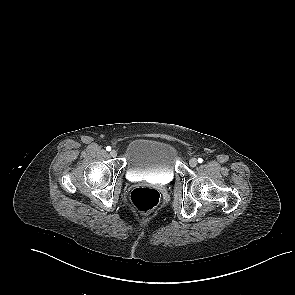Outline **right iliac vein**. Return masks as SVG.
Segmentation results:
<instances>
[{"label":"right iliac vein","mask_w":295,"mask_h":295,"mask_svg":"<svg viewBox=\"0 0 295 295\" xmlns=\"http://www.w3.org/2000/svg\"><path fill=\"white\" fill-rule=\"evenodd\" d=\"M110 156L111 157H116L117 156V151L116 150H111V152H110Z\"/></svg>","instance_id":"right-iliac-vein-1"}]
</instances>
